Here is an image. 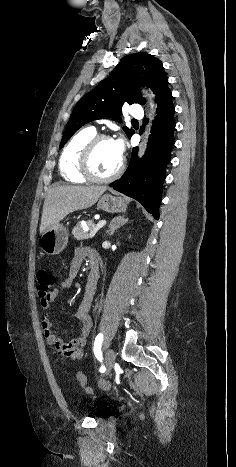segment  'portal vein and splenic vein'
Listing matches in <instances>:
<instances>
[{
	"label": "portal vein and splenic vein",
	"instance_id": "18ae733b",
	"mask_svg": "<svg viewBox=\"0 0 236 467\" xmlns=\"http://www.w3.org/2000/svg\"><path fill=\"white\" fill-rule=\"evenodd\" d=\"M106 225V221L105 220H101L97 223L96 227L94 228L93 232L91 233V237H93L97 232L98 230H100L103 226Z\"/></svg>",
	"mask_w": 236,
	"mask_h": 467
}]
</instances>
